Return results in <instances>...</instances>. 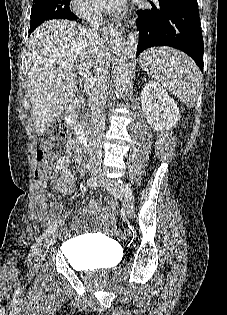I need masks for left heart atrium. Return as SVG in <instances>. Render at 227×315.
Returning a JSON list of instances; mask_svg holds the SVG:
<instances>
[{
	"mask_svg": "<svg viewBox=\"0 0 227 315\" xmlns=\"http://www.w3.org/2000/svg\"><path fill=\"white\" fill-rule=\"evenodd\" d=\"M98 7L109 15L119 16L126 9V0H95Z\"/></svg>",
	"mask_w": 227,
	"mask_h": 315,
	"instance_id": "left-heart-atrium-1",
	"label": "left heart atrium"
}]
</instances>
